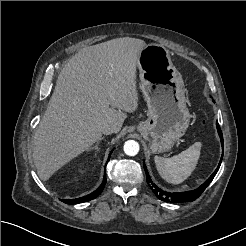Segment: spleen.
Instances as JSON below:
<instances>
[{"label": "spleen", "instance_id": "obj_1", "mask_svg": "<svg viewBox=\"0 0 246 246\" xmlns=\"http://www.w3.org/2000/svg\"><path fill=\"white\" fill-rule=\"evenodd\" d=\"M201 147V142H195L189 148L171 158L155 156L154 161L160 176L171 184L184 182L196 168Z\"/></svg>", "mask_w": 246, "mask_h": 246}]
</instances>
